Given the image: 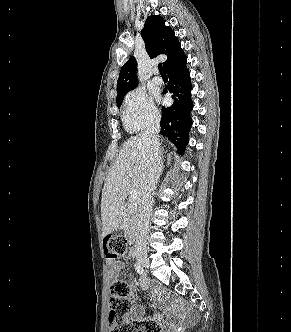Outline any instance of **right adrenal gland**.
Instances as JSON below:
<instances>
[{
	"label": "right adrenal gland",
	"instance_id": "1",
	"mask_svg": "<svg viewBox=\"0 0 291 332\" xmlns=\"http://www.w3.org/2000/svg\"><path fill=\"white\" fill-rule=\"evenodd\" d=\"M162 154V152H161ZM164 165H163V160L161 161V172L163 171Z\"/></svg>",
	"mask_w": 291,
	"mask_h": 332
}]
</instances>
